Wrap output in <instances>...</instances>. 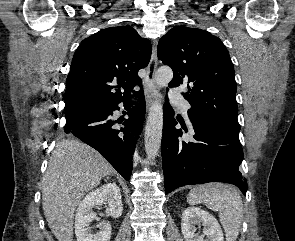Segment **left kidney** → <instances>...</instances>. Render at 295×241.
Listing matches in <instances>:
<instances>
[{
  "mask_svg": "<svg viewBox=\"0 0 295 241\" xmlns=\"http://www.w3.org/2000/svg\"><path fill=\"white\" fill-rule=\"evenodd\" d=\"M202 223L203 234L196 233L195 225ZM181 230L186 241H224L222 229L216 218L198 207L183 211Z\"/></svg>",
  "mask_w": 295,
  "mask_h": 241,
  "instance_id": "5707ae66",
  "label": "left kidney"
}]
</instances>
